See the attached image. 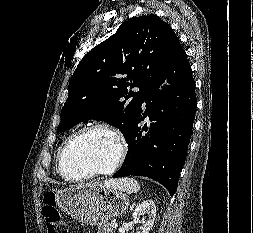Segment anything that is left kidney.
Returning <instances> with one entry per match:
<instances>
[{
    "label": "left kidney",
    "instance_id": "obj_1",
    "mask_svg": "<svg viewBox=\"0 0 253 233\" xmlns=\"http://www.w3.org/2000/svg\"><path fill=\"white\" fill-rule=\"evenodd\" d=\"M146 214L147 217L141 220L142 223V233H149L152 229L154 220L156 217V206L153 200L142 201L133 211L132 217L135 221L140 222V216Z\"/></svg>",
    "mask_w": 253,
    "mask_h": 233
}]
</instances>
